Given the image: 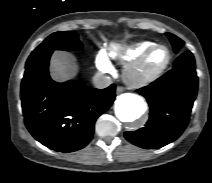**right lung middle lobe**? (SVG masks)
Instances as JSON below:
<instances>
[{
	"mask_svg": "<svg viewBox=\"0 0 212 183\" xmlns=\"http://www.w3.org/2000/svg\"><path fill=\"white\" fill-rule=\"evenodd\" d=\"M81 48L82 44L77 33L65 31L51 34L32 53L54 50H80Z\"/></svg>",
	"mask_w": 212,
	"mask_h": 183,
	"instance_id": "obj_1",
	"label": "right lung middle lobe"
}]
</instances>
